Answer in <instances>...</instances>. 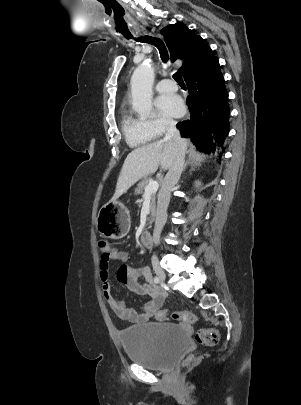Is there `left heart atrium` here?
Wrapping results in <instances>:
<instances>
[{"mask_svg": "<svg viewBox=\"0 0 301 405\" xmlns=\"http://www.w3.org/2000/svg\"><path fill=\"white\" fill-rule=\"evenodd\" d=\"M156 106L163 114L171 117H180L185 111L182 99L175 94L159 96L156 100Z\"/></svg>", "mask_w": 301, "mask_h": 405, "instance_id": "obj_1", "label": "left heart atrium"}]
</instances>
